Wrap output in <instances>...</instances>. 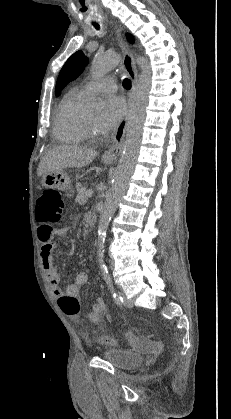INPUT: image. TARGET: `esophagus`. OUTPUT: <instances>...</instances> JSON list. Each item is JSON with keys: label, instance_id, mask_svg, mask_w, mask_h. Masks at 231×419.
<instances>
[{"label": "esophagus", "instance_id": "34e87169", "mask_svg": "<svg viewBox=\"0 0 231 419\" xmlns=\"http://www.w3.org/2000/svg\"><path fill=\"white\" fill-rule=\"evenodd\" d=\"M122 29L120 27L116 28V33L118 37V41L120 44V47L123 52V65L125 70L127 71L131 81H132V89L130 92V97L133 93V90L136 86L137 79H138V71L136 67V63L133 56V50L128 45V43L125 41L124 37L122 36ZM126 125H127V116H125L120 124L118 125L117 129L115 130L111 140L110 145L108 149L103 154V159L106 161H114L116 160L119 155L121 154V151L123 149V142L125 138V132H126Z\"/></svg>", "mask_w": 231, "mask_h": 419}]
</instances>
